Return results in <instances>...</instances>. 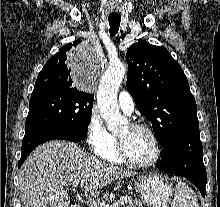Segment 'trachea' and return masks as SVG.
Wrapping results in <instances>:
<instances>
[{"label":"trachea","instance_id":"1","mask_svg":"<svg viewBox=\"0 0 220 207\" xmlns=\"http://www.w3.org/2000/svg\"><path fill=\"white\" fill-rule=\"evenodd\" d=\"M109 25H110V35L115 36L118 33L121 17L120 16H110L108 18Z\"/></svg>","mask_w":220,"mask_h":207}]
</instances>
